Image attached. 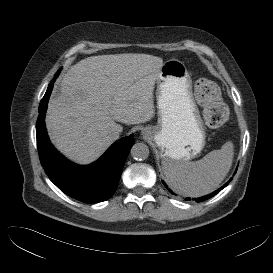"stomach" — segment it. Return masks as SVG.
I'll return each instance as SVG.
<instances>
[{
	"label": "stomach",
	"mask_w": 273,
	"mask_h": 273,
	"mask_svg": "<svg viewBox=\"0 0 273 273\" xmlns=\"http://www.w3.org/2000/svg\"><path fill=\"white\" fill-rule=\"evenodd\" d=\"M158 122L143 135L159 148L163 160L186 162L205 146V127L192 93V80L183 62L166 61L156 80Z\"/></svg>",
	"instance_id": "0dacf381"
}]
</instances>
